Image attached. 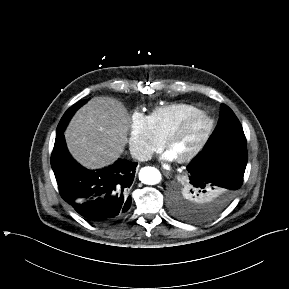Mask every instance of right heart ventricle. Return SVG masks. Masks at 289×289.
<instances>
[{
    "mask_svg": "<svg viewBox=\"0 0 289 289\" xmlns=\"http://www.w3.org/2000/svg\"><path fill=\"white\" fill-rule=\"evenodd\" d=\"M200 109L189 103H172L154 108L148 115L155 134L163 141L188 115Z\"/></svg>",
    "mask_w": 289,
    "mask_h": 289,
    "instance_id": "e07e8e85",
    "label": "right heart ventricle"
}]
</instances>
